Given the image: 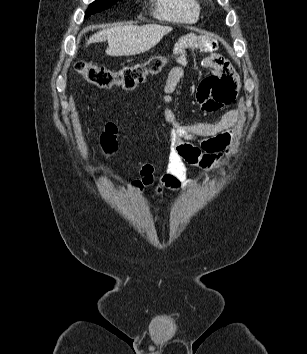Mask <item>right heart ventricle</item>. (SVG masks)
<instances>
[{"label": "right heart ventricle", "mask_w": 307, "mask_h": 354, "mask_svg": "<svg viewBox=\"0 0 307 354\" xmlns=\"http://www.w3.org/2000/svg\"><path fill=\"white\" fill-rule=\"evenodd\" d=\"M154 2V15L158 19L174 23H193L199 18L198 0H154Z\"/></svg>", "instance_id": "obj_1"}]
</instances>
